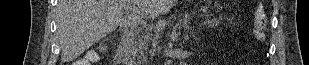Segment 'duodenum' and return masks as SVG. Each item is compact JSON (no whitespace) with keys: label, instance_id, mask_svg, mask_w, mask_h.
Here are the masks:
<instances>
[{"label":"duodenum","instance_id":"duodenum-1","mask_svg":"<svg viewBox=\"0 0 309 65\" xmlns=\"http://www.w3.org/2000/svg\"><path fill=\"white\" fill-rule=\"evenodd\" d=\"M133 37L131 33H125L119 44V60L123 65H134L132 61Z\"/></svg>","mask_w":309,"mask_h":65}]
</instances>
